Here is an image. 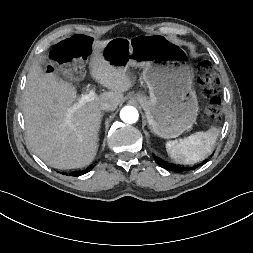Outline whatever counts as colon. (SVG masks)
Wrapping results in <instances>:
<instances>
[{"mask_svg":"<svg viewBox=\"0 0 253 253\" xmlns=\"http://www.w3.org/2000/svg\"><path fill=\"white\" fill-rule=\"evenodd\" d=\"M91 51V40L87 36L76 35L59 42L52 51L53 60L59 65H70L81 63ZM201 76L199 85L208 105L205 109L204 121L212 124L220 118V100L218 98V88L220 80L217 75L211 73L207 63L200 64Z\"/></svg>","mask_w":253,"mask_h":253,"instance_id":"obj_1","label":"colon"}]
</instances>
